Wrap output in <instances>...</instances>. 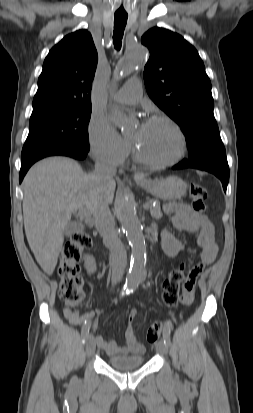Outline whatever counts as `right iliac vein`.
Segmentation results:
<instances>
[{
	"instance_id": "63e3f726",
	"label": "right iliac vein",
	"mask_w": 253,
	"mask_h": 413,
	"mask_svg": "<svg viewBox=\"0 0 253 413\" xmlns=\"http://www.w3.org/2000/svg\"><path fill=\"white\" fill-rule=\"evenodd\" d=\"M96 344L93 335H88L87 337V345H86V352L88 356H92L95 352Z\"/></svg>"
}]
</instances>
